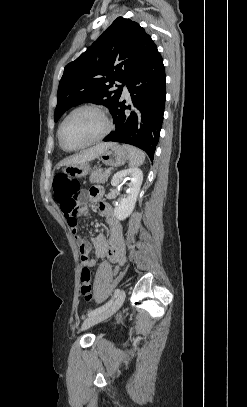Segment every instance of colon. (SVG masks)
Masks as SVG:
<instances>
[{"mask_svg": "<svg viewBox=\"0 0 247 407\" xmlns=\"http://www.w3.org/2000/svg\"><path fill=\"white\" fill-rule=\"evenodd\" d=\"M80 190V183L66 174H57L53 180V197L57 203L65 202L74 198ZM91 280L92 274L89 267H83L80 276L81 293L90 301L92 299L91 293Z\"/></svg>", "mask_w": 247, "mask_h": 407, "instance_id": "obj_1", "label": "colon"}]
</instances>
